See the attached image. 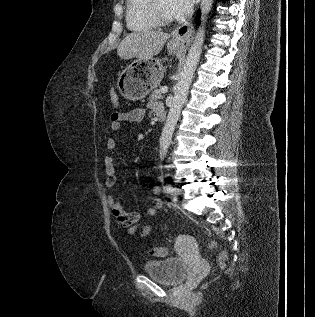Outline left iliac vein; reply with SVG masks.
I'll return each instance as SVG.
<instances>
[{
	"instance_id": "1",
	"label": "left iliac vein",
	"mask_w": 315,
	"mask_h": 317,
	"mask_svg": "<svg viewBox=\"0 0 315 317\" xmlns=\"http://www.w3.org/2000/svg\"><path fill=\"white\" fill-rule=\"evenodd\" d=\"M181 194V190L179 188H174L171 192V195L174 197H178Z\"/></svg>"
}]
</instances>
